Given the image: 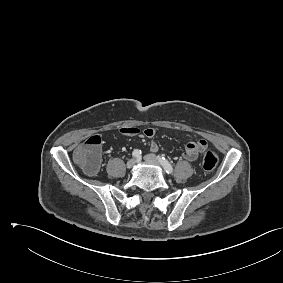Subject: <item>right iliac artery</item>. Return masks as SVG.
I'll return each mask as SVG.
<instances>
[{
	"label": "right iliac artery",
	"instance_id": "82829eb1",
	"mask_svg": "<svg viewBox=\"0 0 283 283\" xmlns=\"http://www.w3.org/2000/svg\"><path fill=\"white\" fill-rule=\"evenodd\" d=\"M132 156L136 159H140L141 158V150H138V149H135L133 152H132Z\"/></svg>",
	"mask_w": 283,
	"mask_h": 283
}]
</instances>
